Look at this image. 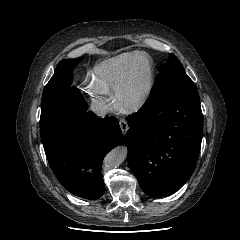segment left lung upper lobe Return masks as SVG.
Wrapping results in <instances>:
<instances>
[{
  "instance_id": "5c2ea615",
  "label": "left lung upper lobe",
  "mask_w": 240,
  "mask_h": 240,
  "mask_svg": "<svg viewBox=\"0 0 240 240\" xmlns=\"http://www.w3.org/2000/svg\"><path fill=\"white\" fill-rule=\"evenodd\" d=\"M176 89L197 90V87L186 74L178 58L170 54L169 61L161 69L155 80L149 98H154L166 91Z\"/></svg>"
}]
</instances>
